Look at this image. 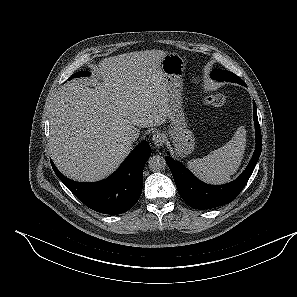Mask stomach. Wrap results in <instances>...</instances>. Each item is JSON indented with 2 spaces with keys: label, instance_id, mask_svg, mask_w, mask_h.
I'll return each instance as SVG.
<instances>
[{
  "label": "stomach",
  "instance_id": "1",
  "mask_svg": "<svg viewBox=\"0 0 297 297\" xmlns=\"http://www.w3.org/2000/svg\"><path fill=\"white\" fill-rule=\"evenodd\" d=\"M186 62L176 53H167L161 61L170 108V125L166 136L174 145L177 157L184 158L194 150L195 139L189 129L182 105V83Z\"/></svg>",
  "mask_w": 297,
  "mask_h": 297
}]
</instances>
